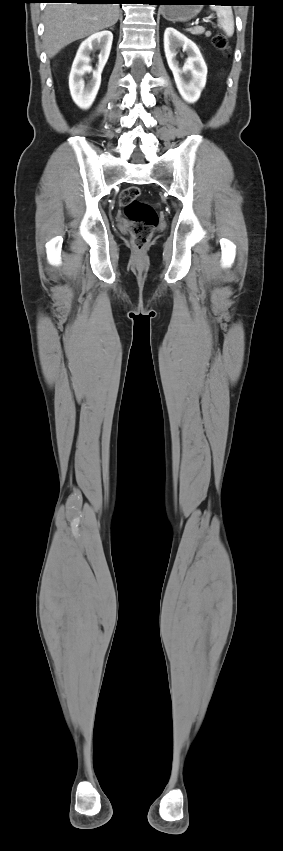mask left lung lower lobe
Segmentation results:
<instances>
[{"label": "left lung lower lobe", "instance_id": "0a47b994", "mask_svg": "<svg viewBox=\"0 0 283 851\" xmlns=\"http://www.w3.org/2000/svg\"><path fill=\"white\" fill-rule=\"evenodd\" d=\"M171 1H173V0H152L154 5H163V4H167V3H172ZM202 1L207 2V3H210V2L223 3V4H221L223 6L226 3H233L234 0H202ZM226 5H228V4H226Z\"/></svg>", "mask_w": 283, "mask_h": 851}]
</instances>
